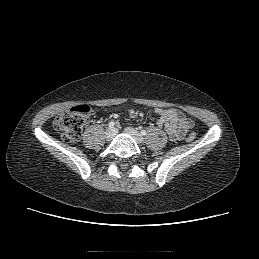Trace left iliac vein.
<instances>
[{"label":"left iliac vein","mask_w":259,"mask_h":259,"mask_svg":"<svg viewBox=\"0 0 259 259\" xmlns=\"http://www.w3.org/2000/svg\"><path fill=\"white\" fill-rule=\"evenodd\" d=\"M125 132L129 134L131 137H133L138 144H142L144 142V138L137 130L131 127H127L125 128Z\"/></svg>","instance_id":"obj_1"}]
</instances>
